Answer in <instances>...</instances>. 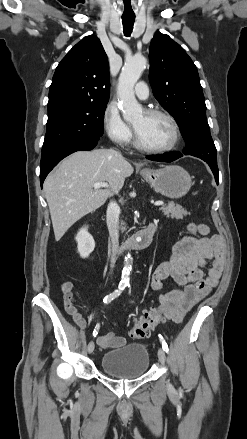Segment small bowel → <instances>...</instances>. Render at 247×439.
Wrapping results in <instances>:
<instances>
[{"label":"small bowel","instance_id":"1","mask_svg":"<svg viewBox=\"0 0 247 439\" xmlns=\"http://www.w3.org/2000/svg\"><path fill=\"white\" fill-rule=\"evenodd\" d=\"M199 233L203 237L188 235L176 242L170 260L159 264L151 277L153 290H160L167 278H172L183 287L157 298L164 314L163 322H182L187 312L218 284L225 265L223 239L217 235L208 236L209 228L204 224H200ZM208 261H211V266L204 274L203 268ZM73 288L72 281H65L61 285L65 310L77 326L84 328L86 322L76 307ZM97 343L102 349H113L125 345L127 340L109 332L100 336Z\"/></svg>","mask_w":247,"mask_h":439}]
</instances>
